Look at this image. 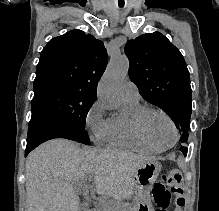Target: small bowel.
Wrapping results in <instances>:
<instances>
[{"instance_id":"small-bowel-1","label":"small bowel","mask_w":219,"mask_h":211,"mask_svg":"<svg viewBox=\"0 0 219 211\" xmlns=\"http://www.w3.org/2000/svg\"><path fill=\"white\" fill-rule=\"evenodd\" d=\"M155 201L158 206L156 211H166L170 203V193L164 189H157L155 192Z\"/></svg>"}]
</instances>
